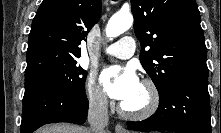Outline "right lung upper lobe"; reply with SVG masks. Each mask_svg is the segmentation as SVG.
Returning a JSON list of instances; mask_svg holds the SVG:
<instances>
[{
    "label": "right lung upper lobe",
    "instance_id": "obj_1",
    "mask_svg": "<svg viewBox=\"0 0 221 133\" xmlns=\"http://www.w3.org/2000/svg\"><path fill=\"white\" fill-rule=\"evenodd\" d=\"M101 0H43L31 26L25 75L77 62L78 45L98 21Z\"/></svg>",
    "mask_w": 221,
    "mask_h": 133
}]
</instances>
